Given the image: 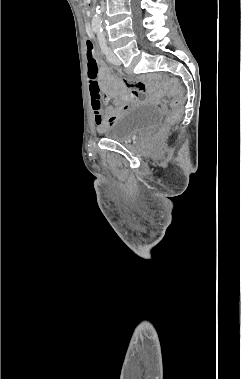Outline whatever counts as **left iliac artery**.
Instances as JSON below:
<instances>
[{
  "label": "left iliac artery",
  "instance_id": "44dca946",
  "mask_svg": "<svg viewBox=\"0 0 241 379\" xmlns=\"http://www.w3.org/2000/svg\"><path fill=\"white\" fill-rule=\"evenodd\" d=\"M97 36H98V41H99V45L101 47V50L103 51V53L107 54L108 47L106 45V40H105V36H104L102 29L97 31Z\"/></svg>",
  "mask_w": 241,
  "mask_h": 379
}]
</instances>
